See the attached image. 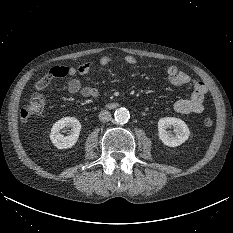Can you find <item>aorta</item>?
<instances>
[{"instance_id": "aorta-1", "label": "aorta", "mask_w": 233, "mask_h": 233, "mask_svg": "<svg viewBox=\"0 0 233 233\" xmlns=\"http://www.w3.org/2000/svg\"><path fill=\"white\" fill-rule=\"evenodd\" d=\"M114 116L115 121L119 124L127 123L130 118L129 111L126 108L117 109L114 113Z\"/></svg>"}]
</instances>
